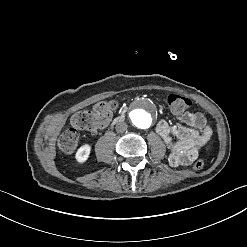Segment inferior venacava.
<instances>
[{"label":"inferior vena cava","instance_id":"1","mask_svg":"<svg viewBox=\"0 0 247 247\" xmlns=\"http://www.w3.org/2000/svg\"><path fill=\"white\" fill-rule=\"evenodd\" d=\"M127 130V124L125 122H119L116 124V131L117 132H124Z\"/></svg>","mask_w":247,"mask_h":247}]
</instances>
